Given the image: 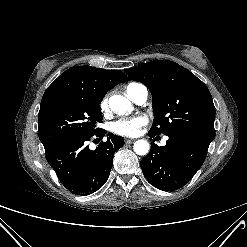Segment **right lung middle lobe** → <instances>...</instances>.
<instances>
[{"instance_id":"obj_1","label":"right lung middle lobe","mask_w":247,"mask_h":247,"mask_svg":"<svg viewBox=\"0 0 247 247\" xmlns=\"http://www.w3.org/2000/svg\"><path fill=\"white\" fill-rule=\"evenodd\" d=\"M102 99L96 95H79L41 108L38 135L42 144L97 132L96 123L102 122L99 106Z\"/></svg>"}]
</instances>
